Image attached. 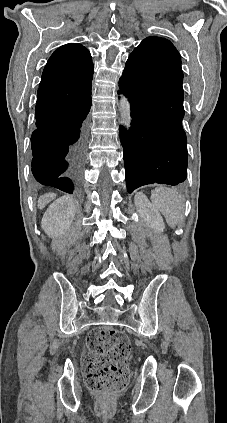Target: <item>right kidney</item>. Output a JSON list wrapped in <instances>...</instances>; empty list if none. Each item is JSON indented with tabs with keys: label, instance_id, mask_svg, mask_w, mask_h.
Returning a JSON list of instances; mask_svg holds the SVG:
<instances>
[{
	"label": "right kidney",
	"instance_id": "right-kidney-1",
	"mask_svg": "<svg viewBox=\"0 0 227 423\" xmlns=\"http://www.w3.org/2000/svg\"><path fill=\"white\" fill-rule=\"evenodd\" d=\"M76 208L71 196H62L55 200L45 211L41 225L48 237H58L72 225Z\"/></svg>",
	"mask_w": 227,
	"mask_h": 423
}]
</instances>
